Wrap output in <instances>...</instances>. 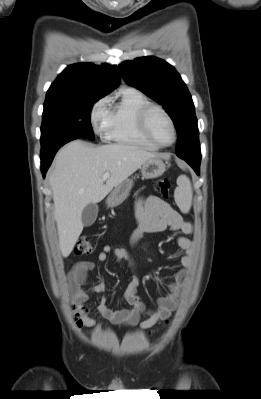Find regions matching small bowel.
<instances>
[{
	"mask_svg": "<svg viewBox=\"0 0 261 399\" xmlns=\"http://www.w3.org/2000/svg\"><path fill=\"white\" fill-rule=\"evenodd\" d=\"M135 217L138 225L131 235L130 242L132 245H136L145 233L159 232L166 228L180 233L176 238V244L179 249L184 251V254L180 257L181 268L174 272L173 278L168 284V292L158 299L157 308L146 309L138 297L137 287L140 280L137 275L133 276L124 292V300L132 307L118 310L110 308L105 296L106 288L103 278H100V281L90 288L84 287L88 273L94 268V263L91 261L76 262L67 275V285L74 303L79 307L84 308L91 294H101L102 297L97 306L100 317L117 325L149 329L171 315L188 286V274L192 266L194 245L186 235L192 232V226L182 218L172 205L154 195L139 197L136 200ZM109 255L116 262H127L130 266H134V259L127 250L110 245L104 246L102 251L98 253L97 261L104 262ZM143 315L146 318L141 320ZM82 323L87 327H94L97 320L88 316L84 311Z\"/></svg>",
	"mask_w": 261,
	"mask_h": 399,
	"instance_id": "1",
	"label": "small bowel"
}]
</instances>
